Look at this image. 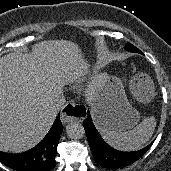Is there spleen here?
<instances>
[{
	"instance_id": "spleen-1",
	"label": "spleen",
	"mask_w": 171,
	"mask_h": 171,
	"mask_svg": "<svg viewBox=\"0 0 171 171\" xmlns=\"http://www.w3.org/2000/svg\"><path fill=\"white\" fill-rule=\"evenodd\" d=\"M97 126L105 141L114 148L135 151L149 141L155 130L156 121L154 117H146L134 129L124 132L99 121Z\"/></svg>"
}]
</instances>
